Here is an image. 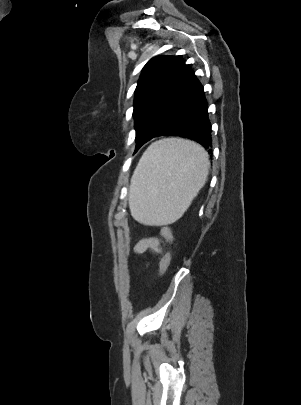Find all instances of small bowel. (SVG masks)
<instances>
[{"label":"small bowel","mask_w":301,"mask_h":405,"mask_svg":"<svg viewBox=\"0 0 301 405\" xmlns=\"http://www.w3.org/2000/svg\"><path fill=\"white\" fill-rule=\"evenodd\" d=\"M136 254H142L146 251H153L158 254H162L163 245L158 237H147L141 239L134 247Z\"/></svg>","instance_id":"small-bowel-1"}]
</instances>
